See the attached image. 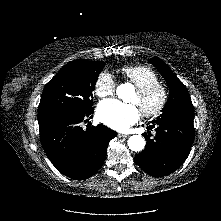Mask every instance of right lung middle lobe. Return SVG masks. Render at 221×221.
<instances>
[{
    "instance_id": "right-lung-middle-lobe-1",
    "label": "right lung middle lobe",
    "mask_w": 221,
    "mask_h": 221,
    "mask_svg": "<svg viewBox=\"0 0 221 221\" xmlns=\"http://www.w3.org/2000/svg\"><path fill=\"white\" fill-rule=\"evenodd\" d=\"M104 63L74 60L66 64L44 87L38 120L83 114L92 109L93 90Z\"/></svg>"
}]
</instances>
